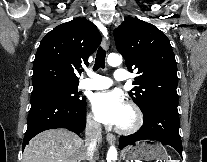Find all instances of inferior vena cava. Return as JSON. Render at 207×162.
<instances>
[{
    "label": "inferior vena cava",
    "instance_id": "602c4592",
    "mask_svg": "<svg viewBox=\"0 0 207 162\" xmlns=\"http://www.w3.org/2000/svg\"><path fill=\"white\" fill-rule=\"evenodd\" d=\"M85 144L88 146L87 159H92L98 145L102 141L101 125L94 119L88 118L85 128Z\"/></svg>",
    "mask_w": 207,
    "mask_h": 162
}]
</instances>
